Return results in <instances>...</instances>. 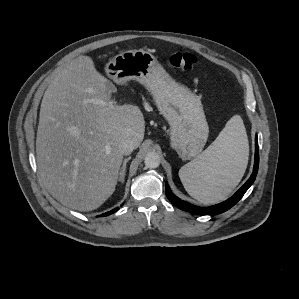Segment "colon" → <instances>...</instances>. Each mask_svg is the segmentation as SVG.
<instances>
[{
	"instance_id": "5ec220e1",
	"label": "colon",
	"mask_w": 299,
	"mask_h": 299,
	"mask_svg": "<svg viewBox=\"0 0 299 299\" xmlns=\"http://www.w3.org/2000/svg\"><path fill=\"white\" fill-rule=\"evenodd\" d=\"M168 62L173 67L190 70L197 64V58L191 53L177 51L168 57Z\"/></svg>"
}]
</instances>
